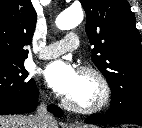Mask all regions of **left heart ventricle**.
<instances>
[{
	"label": "left heart ventricle",
	"instance_id": "b2bd125f",
	"mask_svg": "<svg viewBox=\"0 0 142 128\" xmlns=\"http://www.w3.org/2000/svg\"><path fill=\"white\" fill-rule=\"evenodd\" d=\"M98 96V88L95 82L83 75L76 91L69 96L72 100L80 104H90L96 100Z\"/></svg>",
	"mask_w": 142,
	"mask_h": 128
}]
</instances>
